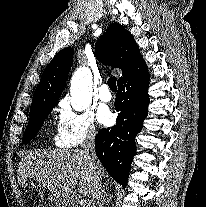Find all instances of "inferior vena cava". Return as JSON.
Listing matches in <instances>:
<instances>
[{
	"instance_id": "602c4592",
	"label": "inferior vena cava",
	"mask_w": 206,
	"mask_h": 207,
	"mask_svg": "<svg viewBox=\"0 0 206 207\" xmlns=\"http://www.w3.org/2000/svg\"><path fill=\"white\" fill-rule=\"evenodd\" d=\"M96 133L92 131L87 135L86 140L83 144V153L88 161L90 169L94 173L93 187L94 195L92 199L88 202L87 207H102L101 197H102V183H101V165L95 154V144L94 138Z\"/></svg>"
}]
</instances>
